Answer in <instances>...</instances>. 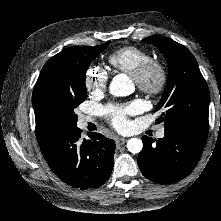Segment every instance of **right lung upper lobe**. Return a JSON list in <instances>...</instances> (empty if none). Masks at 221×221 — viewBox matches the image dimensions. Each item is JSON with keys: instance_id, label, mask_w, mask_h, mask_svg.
Returning a JSON list of instances; mask_svg holds the SVG:
<instances>
[{"instance_id": "obj_1", "label": "right lung upper lobe", "mask_w": 221, "mask_h": 221, "mask_svg": "<svg viewBox=\"0 0 221 221\" xmlns=\"http://www.w3.org/2000/svg\"><path fill=\"white\" fill-rule=\"evenodd\" d=\"M84 46H74L62 50L50 58L43 66L32 94L35 112L36 136L42 144L56 132L65 128V115L47 95L46 85L60 70L61 65L77 55Z\"/></svg>"}]
</instances>
